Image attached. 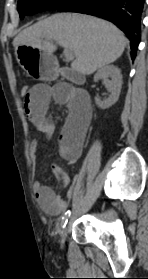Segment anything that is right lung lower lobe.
<instances>
[{"label":"right lung lower lobe","mask_w":148,"mask_h":279,"mask_svg":"<svg viewBox=\"0 0 148 279\" xmlns=\"http://www.w3.org/2000/svg\"><path fill=\"white\" fill-rule=\"evenodd\" d=\"M144 2L145 0H78L57 10L90 14L113 22L131 41V58L134 60L140 42Z\"/></svg>","instance_id":"right-lung-lower-lobe-1"}]
</instances>
